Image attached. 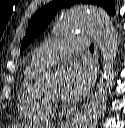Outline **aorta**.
<instances>
[{
    "label": "aorta",
    "mask_w": 125,
    "mask_h": 128,
    "mask_svg": "<svg viewBox=\"0 0 125 128\" xmlns=\"http://www.w3.org/2000/svg\"><path fill=\"white\" fill-rule=\"evenodd\" d=\"M56 32L71 33L87 31L97 42L103 56V74L97 86V92L78 116L72 128H96L101 114L106 108V101L112 77L113 62L118 50V37L108 14L101 8L91 5H76L66 10L59 18ZM43 88H52L57 83L53 72L43 71L38 78Z\"/></svg>",
    "instance_id": "1"
}]
</instances>
